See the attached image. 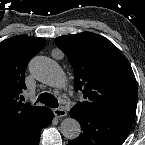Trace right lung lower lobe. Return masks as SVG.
<instances>
[{"label": "right lung lower lobe", "mask_w": 145, "mask_h": 145, "mask_svg": "<svg viewBox=\"0 0 145 145\" xmlns=\"http://www.w3.org/2000/svg\"><path fill=\"white\" fill-rule=\"evenodd\" d=\"M53 117V112L46 108L31 119L0 135V145H38L40 131L51 123Z\"/></svg>", "instance_id": "right-lung-lower-lobe-1"}]
</instances>
